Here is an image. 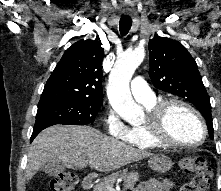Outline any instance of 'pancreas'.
<instances>
[{
	"instance_id": "1",
	"label": "pancreas",
	"mask_w": 221,
	"mask_h": 191,
	"mask_svg": "<svg viewBox=\"0 0 221 191\" xmlns=\"http://www.w3.org/2000/svg\"><path fill=\"white\" fill-rule=\"evenodd\" d=\"M117 178H122L124 183V188L132 189L139 181L138 173L133 172H116L107 176L103 181L96 184L93 188V191H109V187H113Z\"/></svg>"
}]
</instances>
